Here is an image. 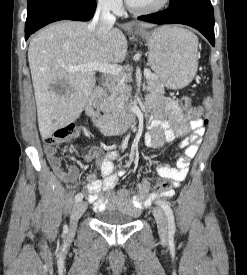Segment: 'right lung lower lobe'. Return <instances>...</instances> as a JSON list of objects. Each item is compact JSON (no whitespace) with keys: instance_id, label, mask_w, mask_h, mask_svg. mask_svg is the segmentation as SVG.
<instances>
[{"instance_id":"right-lung-lower-lobe-1","label":"right lung lower lobe","mask_w":247,"mask_h":275,"mask_svg":"<svg viewBox=\"0 0 247 275\" xmlns=\"http://www.w3.org/2000/svg\"><path fill=\"white\" fill-rule=\"evenodd\" d=\"M95 1L37 0L28 3L25 40L43 26L58 20L88 21L95 12Z\"/></svg>"}]
</instances>
